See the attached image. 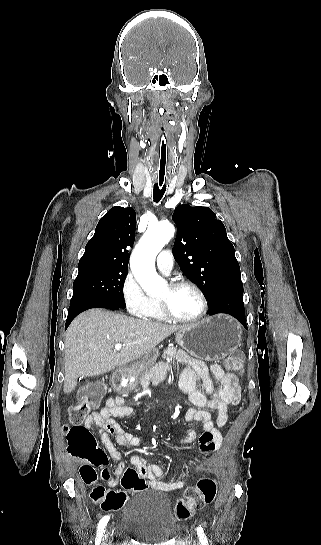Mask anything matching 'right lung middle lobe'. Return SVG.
Listing matches in <instances>:
<instances>
[{
  "label": "right lung middle lobe",
  "mask_w": 321,
  "mask_h": 545,
  "mask_svg": "<svg viewBox=\"0 0 321 545\" xmlns=\"http://www.w3.org/2000/svg\"><path fill=\"white\" fill-rule=\"evenodd\" d=\"M78 270L70 306L81 301L125 304L123 284L128 269L85 267Z\"/></svg>",
  "instance_id": "1"
}]
</instances>
